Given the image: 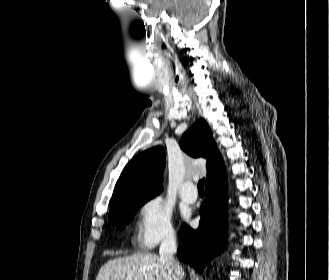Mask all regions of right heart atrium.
<instances>
[{
	"mask_svg": "<svg viewBox=\"0 0 329 280\" xmlns=\"http://www.w3.org/2000/svg\"><path fill=\"white\" fill-rule=\"evenodd\" d=\"M175 236L172 210L165 200L153 196L145 200L138 209L137 241L145 249L170 241Z\"/></svg>",
	"mask_w": 329,
	"mask_h": 280,
	"instance_id": "d8ad5b80",
	"label": "right heart atrium"
}]
</instances>
